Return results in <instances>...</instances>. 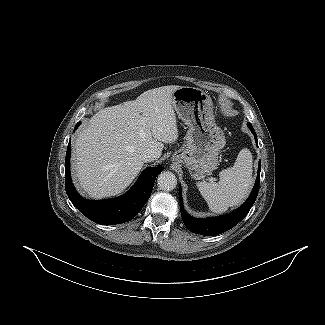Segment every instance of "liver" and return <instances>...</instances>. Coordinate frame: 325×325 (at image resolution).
Segmentation results:
<instances>
[{
	"label": "liver",
	"instance_id": "6515ba94",
	"mask_svg": "<svg viewBox=\"0 0 325 325\" xmlns=\"http://www.w3.org/2000/svg\"><path fill=\"white\" fill-rule=\"evenodd\" d=\"M181 86L147 90L134 101L100 109L78 133L73 171L80 188L100 199L121 192L141 170V153L152 149L158 158L163 143L179 133L172 95Z\"/></svg>",
	"mask_w": 325,
	"mask_h": 325
}]
</instances>
